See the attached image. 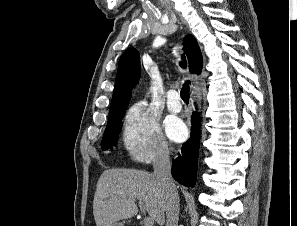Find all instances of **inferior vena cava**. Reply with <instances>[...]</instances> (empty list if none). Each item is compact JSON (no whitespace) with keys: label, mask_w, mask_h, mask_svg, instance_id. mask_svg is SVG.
<instances>
[{"label":"inferior vena cava","mask_w":297,"mask_h":226,"mask_svg":"<svg viewBox=\"0 0 297 226\" xmlns=\"http://www.w3.org/2000/svg\"><path fill=\"white\" fill-rule=\"evenodd\" d=\"M153 176L164 190L166 226H178L179 195L171 176L170 151L164 145L156 154Z\"/></svg>","instance_id":"602c4592"}]
</instances>
